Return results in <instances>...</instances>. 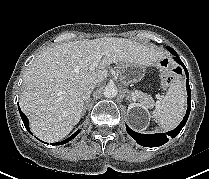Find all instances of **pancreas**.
<instances>
[{"mask_svg":"<svg viewBox=\"0 0 209 179\" xmlns=\"http://www.w3.org/2000/svg\"><path fill=\"white\" fill-rule=\"evenodd\" d=\"M133 94H134V97L137 99V101H139L140 103H142L150 108L154 105V101L151 96H149L141 91H137V90Z\"/></svg>","mask_w":209,"mask_h":179,"instance_id":"pancreas-1","label":"pancreas"}]
</instances>
